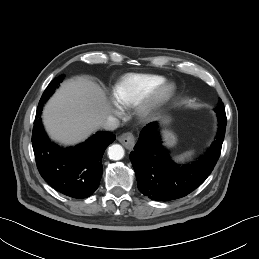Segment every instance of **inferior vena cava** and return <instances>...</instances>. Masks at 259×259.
Returning <instances> with one entry per match:
<instances>
[{
    "label": "inferior vena cava",
    "instance_id": "602c4592",
    "mask_svg": "<svg viewBox=\"0 0 259 259\" xmlns=\"http://www.w3.org/2000/svg\"><path fill=\"white\" fill-rule=\"evenodd\" d=\"M120 125V121L119 119L113 117V116H109L105 123H104V128L108 129V130H115L118 126Z\"/></svg>",
    "mask_w": 259,
    "mask_h": 259
}]
</instances>
